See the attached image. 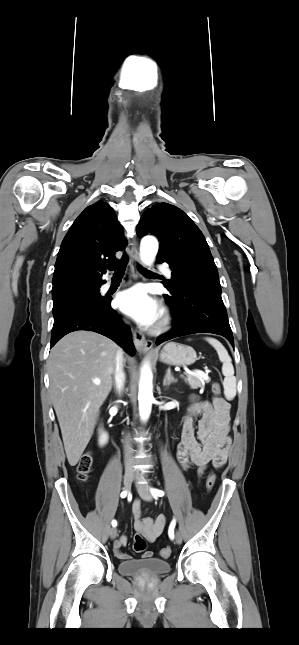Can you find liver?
<instances>
[{
  "mask_svg": "<svg viewBox=\"0 0 299 645\" xmlns=\"http://www.w3.org/2000/svg\"><path fill=\"white\" fill-rule=\"evenodd\" d=\"M119 350L98 333L75 331L50 352V394L71 466L78 463L92 437L100 407L113 385ZM94 380H100V385Z\"/></svg>",
  "mask_w": 299,
  "mask_h": 645,
  "instance_id": "1",
  "label": "liver"
}]
</instances>
